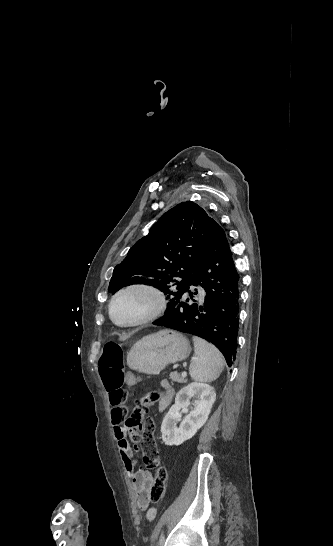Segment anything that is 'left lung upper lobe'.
<instances>
[{"label": "left lung upper lobe", "mask_w": 333, "mask_h": 546, "mask_svg": "<svg viewBox=\"0 0 333 546\" xmlns=\"http://www.w3.org/2000/svg\"><path fill=\"white\" fill-rule=\"evenodd\" d=\"M217 226L197 204H178L164 213L115 267L109 292L132 284L152 285L167 294L170 311L172 298L186 289L209 251Z\"/></svg>", "instance_id": "obj_1"}]
</instances>
